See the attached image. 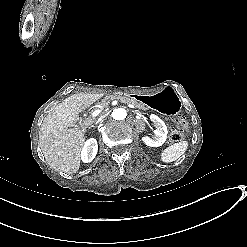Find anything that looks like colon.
<instances>
[{
  "mask_svg": "<svg viewBox=\"0 0 247 247\" xmlns=\"http://www.w3.org/2000/svg\"><path fill=\"white\" fill-rule=\"evenodd\" d=\"M188 131V124L184 117H177L172 124L170 140L172 143H179Z\"/></svg>",
  "mask_w": 247,
  "mask_h": 247,
  "instance_id": "5ec220e1",
  "label": "colon"
}]
</instances>
